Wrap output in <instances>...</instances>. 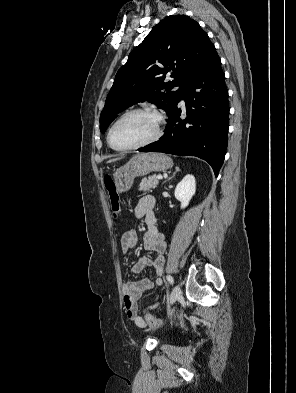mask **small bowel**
<instances>
[{
	"label": "small bowel",
	"instance_id": "obj_1",
	"mask_svg": "<svg viewBox=\"0 0 296 393\" xmlns=\"http://www.w3.org/2000/svg\"><path fill=\"white\" fill-rule=\"evenodd\" d=\"M155 200L152 196L142 197L134 208V215L137 218H144L147 224V231L143 235V245L146 251L156 252L158 255L152 259L148 256L140 258L132 267L133 273H139L146 267H151L156 275L154 280L141 279L130 281L123 284V304L126 315L130 321L139 327H145L146 323L142 316L138 314L137 301L142 295L151 290L155 285L162 284V273L164 269L163 253L166 251L167 244L163 234L156 227L154 213ZM137 233L133 229L126 230L121 237V248L124 253H128L137 245ZM159 302L145 307L144 312L158 308Z\"/></svg>",
	"mask_w": 296,
	"mask_h": 393
}]
</instances>
